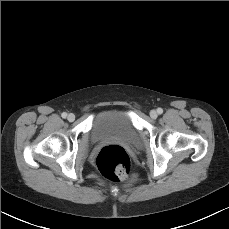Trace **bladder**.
<instances>
[{"label":"bladder","mask_w":229,"mask_h":229,"mask_svg":"<svg viewBox=\"0 0 229 229\" xmlns=\"http://www.w3.org/2000/svg\"><path fill=\"white\" fill-rule=\"evenodd\" d=\"M94 142L119 140L127 144H137L140 134L132 119L122 111L101 113L92 128Z\"/></svg>","instance_id":"obj_1"}]
</instances>
